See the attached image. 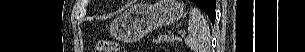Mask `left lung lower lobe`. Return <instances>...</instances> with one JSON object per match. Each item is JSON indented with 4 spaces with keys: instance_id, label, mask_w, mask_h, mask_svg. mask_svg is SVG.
<instances>
[{
    "instance_id": "left-lung-lower-lobe-1",
    "label": "left lung lower lobe",
    "mask_w": 305,
    "mask_h": 52,
    "mask_svg": "<svg viewBox=\"0 0 305 52\" xmlns=\"http://www.w3.org/2000/svg\"><path fill=\"white\" fill-rule=\"evenodd\" d=\"M192 2L195 3V0H192ZM215 7H216L215 0H206L204 6L201 7V9L205 11V13L208 15V17L210 18L213 24L215 20Z\"/></svg>"
}]
</instances>
